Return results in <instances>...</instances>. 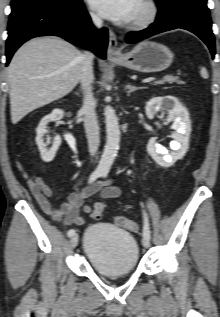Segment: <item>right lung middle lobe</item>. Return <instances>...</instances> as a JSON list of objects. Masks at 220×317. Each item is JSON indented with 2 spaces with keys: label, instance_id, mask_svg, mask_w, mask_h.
I'll return each instance as SVG.
<instances>
[{
  "label": "right lung middle lobe",
  "instance_id": "obj_1",
  "mask_svg": "<svg viewBox=\"0 0 220 317\" xmlns=\"http://www.w3.org/2000/svg\"><path fill=\"white\" fill-rule=\"evenodd\" d=\"M82 0H12V11L36 5H51L71 8L78 5Z\"/></svg>",
  "mask_w": 220,
  "mask_h": 317
}]
</instances>
